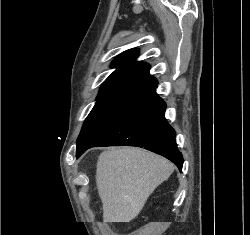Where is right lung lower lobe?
<instances>
[{"mask_svg": "<svg viewBox=\"0 0 250 235\" xmlns=\"http://www.w3.org/2000/svg\"><path fill=\"white\" fill-rule=\"evenodd\" d=\"M157 80L122 103L77 143L76 157L97 146H137L172 161L181 171L183 157L175 131L167 123L166 104L155 89Z\"/></svg>", "mask_w": 250, "mask_h": 235, "instance_id": "98d812e1", "label": "right lung lower lobe"}]
</instances>
